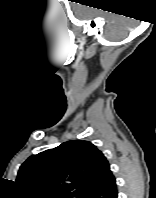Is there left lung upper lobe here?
Wrapping results in <instances>:
<instances>
[{
    "instance_id": "obj_1",
    "label": "left lung upper lobe",
    "mask_w": 156,
    "mask_h": 198,
    "mask_svg": "<svg viewBox=\"0 0 156 198\" xmlns=\"http://www.w3.org/2000/svg\"><path fill=\"white\" fill-rule=\"evenodd\" d=\"M110 173L106 157L95 145L72 140L30 156L16 182L27 198H83Z\"/></svg>"
}]
</instances>
